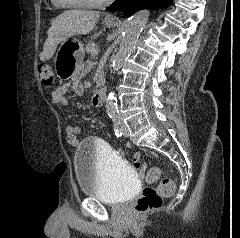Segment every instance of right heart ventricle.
I'll return each instance as SVG.
<instances>
[{"instance_id":"1","label":"right heart ventricle","mask_w":240,"mask_h":238,"mask_svg":"<svg viewBox=\"0 0 240 238\" xmlns=\"http://www.w3.org/2000/svg\"><path fill=\"white\" fill-rule=\"evenodd\" d=\"M51 2L56 6L68 7V6H65L62 2H60V0H51Z\"/></svg>"}]
</instances>
